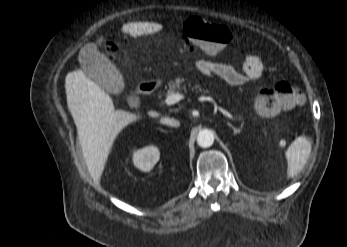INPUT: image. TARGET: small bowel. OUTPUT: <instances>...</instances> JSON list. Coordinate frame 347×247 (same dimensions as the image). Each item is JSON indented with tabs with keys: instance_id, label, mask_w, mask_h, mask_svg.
<instances>
[{
	"instance_id": "1",
	"label": "small bowel",
	"mask_w": 347,
	"mask_h": 247,
	"mask_svg": "<svg viewBox=\"0 0 347 247\" xmlns=\"http://www.w3.org/2000/svg\"><path fill=\"white\" fill-rule=\"evenodd\" d=\"M198 71L205 77H219L229 85L240 86L259 79L264 71L263 63L256 54H248L242 66V71L234 66L219 61L200 59L196 63Z\"/></svg>"
}]
</instances>
